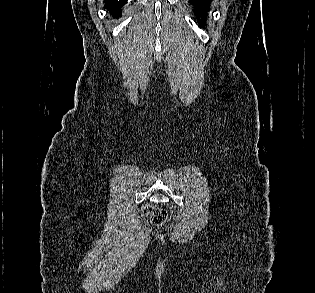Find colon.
I'll use <instances>...</instances> for the list:
<instances>
[{"mask_svg": "<svg viewBox=\"0 0 315 293\" xmlns=\"http://www.w3.org/2000/svg\"><path fill=\"white\" fill-rule=\"evenodd\" d=\"M145 215L149 216L151 222L154 225H163L168 218L167 212L159 207L153 206L151 204H145L142 208Z\"/></svg>", "mask_w": 315, "mask_h": 293, "instance_id": "5ec220e1", "label": "colon"}]
</instances>
